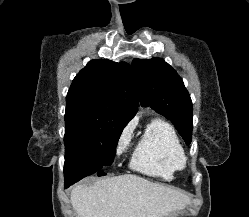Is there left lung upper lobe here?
<instances>
[{
    "instance_id": "5c2ea615",
    "label": "left lung upper lobe",
    "mask_w": 249,
    "mask_h": 217,
    "mask_svg": "<svg viewBox=\"0 0 249 217\" xmlns=\"http://www.w3.org/2000/svg\"><path fill=\"white\" fill-rule=\"evenodd\" d=\"M132 68L142 104L168 118L189 145L193 107L181 77L160 58L134 59Z\"/></svg>"
}]
</instances>
